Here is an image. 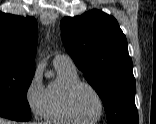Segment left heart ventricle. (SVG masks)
Masks as SVG:
<instances>
[{
    "mask_svg": "<svg viewBox=\"0 0 156 124\" xmlns=\"http://www.w3.org/2000/svg\"><path fill=\"white\" fill-rule=\"evenodd\" d=\"M75 107L78 113L87 120L100 114L101 104L97 95L87 87L80 88L75 96Z\"/></svg>",
    "mask_w": 156,
    "mask_h": 124,
    "instance_id": "1",
    "label": "left heart ventricle"
}]
</instances>
